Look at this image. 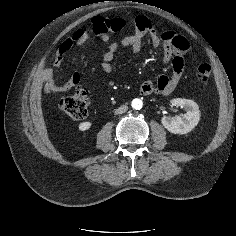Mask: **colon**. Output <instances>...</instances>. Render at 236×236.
Returning a JSON list of instances; mask_svg holds the SVG:
<instances>
[{"label":"colon","instance_id":"1","mask_svg":"<svg viewBox=\"0 0 236 236\" xmlns=\"http://www.w3.org/2000/svg\"><path fill=\"white\" fill-rule=\"evenodd\" d=\"M144 17H137L135 23ZM127 26V21L122 17L113 19H105L96 17L92 21V29L102 27L105 31L118 32ZM211 75V67L209 64H201L197 67L196 77L201 82H206ZM90 105V98L86 90L79 89L73 95L64 96L59 100L60 110L74 120H80L87 116Z\"/></svg>","mask_w":236,"mask_h":236}]
</instances>
